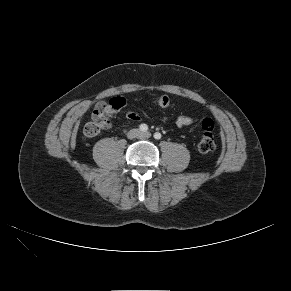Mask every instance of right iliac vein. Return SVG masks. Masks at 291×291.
I'll use <instances>...</instances> for the list:
<instances>
[{
  "label": "right iliac vein",
  "mask_w": 291,
  "mask_h": 291,
  "mask_svg": "<svg viewBox=\"0 0 291 291\" xmlns=\"http://www.w3.org/2000/svg\"><path fill=\"white\" fill-rule=\"evenodd\" d=\"M127 137L129 139H134L137 137H140V131L138 129H131L128 133H127Z\"/></svg>",
  "instance_id": "63e3f726"
}]
</instances>
